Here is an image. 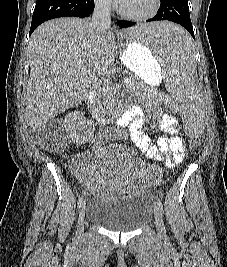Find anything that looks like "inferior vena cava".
Returning <instances> with one entry per match:
<instances>
[{
    "label": "inferior vena cava",
    "mask_w": 227,
    "mask_h": 267,
    "mask_svg": "<svg viewBox=\"0 0 227 267\" xmlns=\"http://www.w3.org/2000/svg\"><path fill=\"white\" fill-rule=\"evenodd\" d=\"M111 7L107 0H96L95 9L92 15L91 26L96 32H103L110 28Z\"/></svg>",
    "instance_id": "1"
}]
</instances>
